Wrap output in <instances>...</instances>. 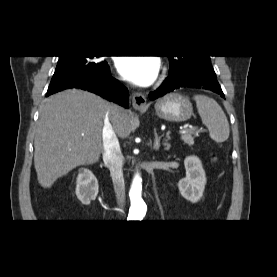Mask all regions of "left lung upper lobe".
<instances>
[{
  "label": "left lung upper lobe",
  "mask_w": 277,
  "mask_h": 277,
  "mask_svg": "<svg viewBox=\"0 0 277 277\" xmlns=\"http://www.w3.org/2000/svg\"><path fill=\"white\" fill-rule=\"evenodd\" d=\"M169 73H189L191 71L213 70L210 56H168Z\"/></svg>",
  "instance_id": "obj_1"
}]
</instances>
